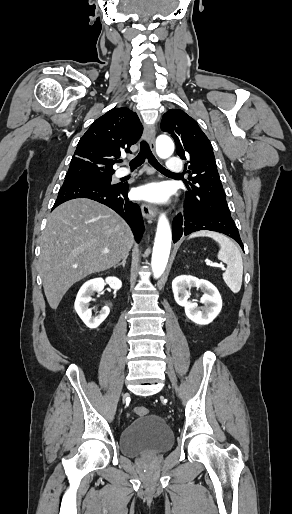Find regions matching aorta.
Masks as SVG:
<instances>
[{
    "label": "aorta",
    "instance_id": "1",
    "mask_svg": "<svg viewBox=\"0 0 292 514\" xmlns=\"http://www.w3.org/2000/svg\"><path fill=\"white\" fill-rule=\"evenodd\" d=\"M174 152V144L171 138L168 136H158L156 142V154L162 160L170 158ZM172 242V234L169 226V222L161 214L158 220L155 244L152 254L151 268L154 278H160L162 276L168 262L170 248Z\"/></svg>",
    "mask_w": 292,
    "mask_h": 514
}]
</instances>
